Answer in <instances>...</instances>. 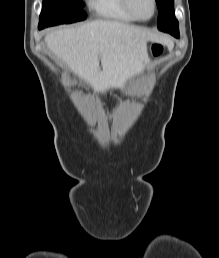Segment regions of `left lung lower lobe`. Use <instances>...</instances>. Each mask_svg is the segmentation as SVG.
Here are the masks:
<instances>
[{
  "label": "left lung lower lobe",
  "instance_id": "obj_1",
  "mask_svg": "<svg viewBox=\"0 0 219 258\" xmlns=\"http://www.w3.org/2000/svg\"><path fill=\"white\" fill-rule=\"evenodd\" d=\"M167 33H170L174 37L179 38V30H171V31H168Z\"/></svg>",
  "mask_w": 219,
  "mask_h": 258
}]
</instances>
